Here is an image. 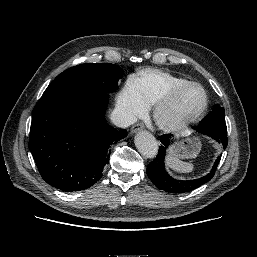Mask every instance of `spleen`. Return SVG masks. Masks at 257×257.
<instances>
[{
	"instance_id": "obj_1",
	"label": "spleen",
	"mask_w": 257,
	"mask_h": 257,
	"mask_svg": "<svg viewBox=\"0 0 257 257\" xmlns=\"http://www.w3.org/2000/svg\"><path fill=\"white\" fill-rule=\"evenodd\" d=\"M166 164L170 169H172L178 173H190L193 171V168H194L193 164L188 163V162H183V161L175 158L171 154L168 155V157L166 159Z\"/></svg>"
}]
</instances>
